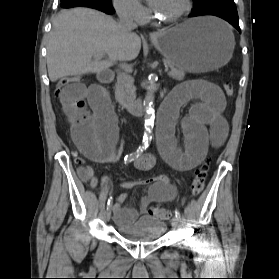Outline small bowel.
Listing matches in <instances>:
<instances>
[{
  "mask_svg": "<svg viewBox=\"0 0 279 279\" xmlns=\"http://www.w3.org/2000/svg\"><path fill=\"white\" fill-rule=\"evenodd\" d=\"M58 97L70 125L72 138L81 154L97 163L117 161L121 150L119 121L106 89L100 85L87 87L76 82L64 87ZM190 100L197 102L182 119V150L174 138V126L180 108ZM225 104L220 88L207 81H188L175 88L158 113L157 138L163 159L173 168L187 171L204 159L209 147L222 146L228 134V124L223 116ZM88 107L93 113L89 112ZM155 161V156L147 153L137 158L134 166L138 170L147 171L155 165ZM77 173L82 182L89 183L93 188L100 184L101 179L94 174L90 165L79 167ZM141 183L149 184L150 187L140 201L139 211L123 206L126 194L115 198L114 215L117 223L131 224L152 202H168L176 196V189L167 176L153 177ZM121 185L129 188L134 183L123 182Z\"/></svg>",
  "mask_w": 279,
  "mask_h": 279,
  "instance_id": "obj_1",
  "label": "small bowel"
}]
</instances>
